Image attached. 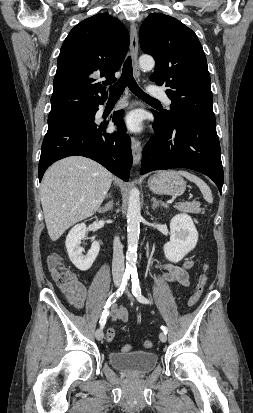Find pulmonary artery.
<instances>
[{"label":"pulmonary artery","instance_id":"obj_1","mask_svg":"<svg viewBox=\"0 0 253 413\" xmlns=\"http://www.w3.org/2000/svg\"><path fill=\"white\" fill-rule=\"evenodd\" d=\"M148 92H149L150 95L163 100L166 105L169 106L171 104V100L169 99V97L167 96V94L165 93V91L162 88L149 87Z\"/></svg>","mask_w":253,"mask_h":413}]
</instances>
